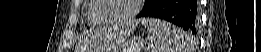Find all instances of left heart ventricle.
Returning <instances> with one entry per match:
<instances>
[{
    "instance_id": "obj_1",
    "label": "left heart ventricle",
    "mask_w": 261,
    "mask_h": 52,
    "mask_svg": "<svg viewBox=\"0 0 261 52\" xmlns=\"http://www.w3.org/2000/svg\"><path fill=\"white\" fill-rule=\"evenodd\" d=\"M108 8L103 11L102 18L105 20H117L127 15L134 4V0H106Z\"/></svg>"
}]
</instances>
